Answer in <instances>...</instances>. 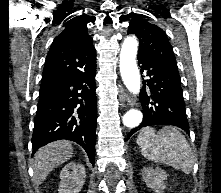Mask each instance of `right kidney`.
<instances>
[{
    "instance_id": "obj_1",
    "label": "right kidney",
    "mask_w": 221,
    "mask_h": 193,
    "mask_svg": "<svg viewBox=\"0 0 221 193\" xmlns=\"http://www.w3.org/2000/svg\"><path fill=\"white\" fill-rule=\"evenodd\" d=\"M86 178L85 167L75 162L68 163L60 172L59 193H79Z\"/></svg>"
}]
</instances>
